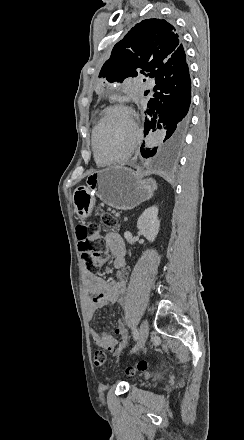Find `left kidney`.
<instances>
[{
	"label": "left kidney",
	"mask_w": 244,
	"mask_h": 440,
	"mask_svg": "<svg viewBox=\"0 0 244 440\" xmlns=\"http://www.w3.org/2000/svg\"><path fill=\"white\" fill-rule=\"evenodd\" d=\"M137 228L146 240L154 242L160 228L157 206H150L141 214L140 218H138Z\"/></svg>",
	"instance_id": "left-kidney-1"
}]
</instances>
